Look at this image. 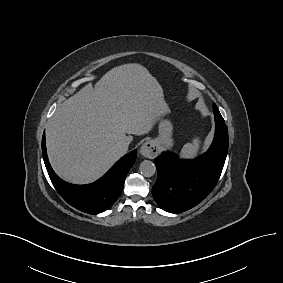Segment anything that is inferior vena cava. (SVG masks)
Wrapping results in <instances>:
<instances>
[{"mask_svg":"<svg viewBox=\"0 0 283 283\" xmlns=\"http://www.w3.org/2000/svg\"><path fill=\"white\" fill-rule=\"evenodd\" d=\"M130 142H131L130 138L126 136V137H124V138L121 140L120 145H121V147H123L124 149H128V146H129Z\"/></svg>","mask_w":283,"mask_h":283,"instance_id":"602c4592","label":"inferior vena cava"}]
</instances>
